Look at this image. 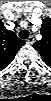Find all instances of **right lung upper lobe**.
I'll return each mask as SVG.
<instances>
[{"label":"right lung upper lobe","mask_w":51,"mask_h":101,"mask_svg":"<svg viewBox=\"0 0 51 101\" xmlns=\"http://www.w3.org/2000/svg\"><path fill=\"white\" fill-rule=\"evenodd\" d=\"M25 44L16 34L0 23V70L6 68L14 59L17 51Z\"/></svg>","instance_id":"right-lung-upper-lobe-1"}]
</instances>
